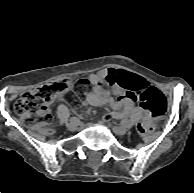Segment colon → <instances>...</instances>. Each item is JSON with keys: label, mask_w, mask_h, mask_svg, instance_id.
<instances>
[{"label": "colon", "mask_w": 194, "mask_h": 193, "mask_svg": "<svg viewBox=\"0 0 194 193\" xmlns=\"http://www.w3.org/2000/svg\"><path fill=\"white\" fill-rule=\"evenodd\" d=\"M116 79L121 87L131 91L135 99L143 104L151 118L159 117L166 112L167 103L165 97L155 87L148 86L138 90L137 81L128 74L119 73ZM86 84L85 80L73 81L64 79L33 88L23 93L18 99L15 104V112L26 127L37 129L47 136H53L55 131L50 127V104L57 96L72 91L76 86L79 87ZM150 128V124L146 125L141 133L147 136Z\"/></svg>", "instance_id": "colon-1"}]
</instances>
